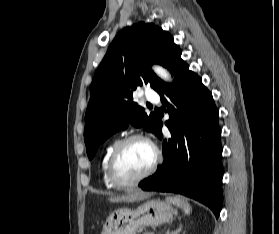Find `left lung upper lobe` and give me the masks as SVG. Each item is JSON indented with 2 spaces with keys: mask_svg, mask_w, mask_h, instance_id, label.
Instances as JSON below:
<instances>
[{
  "mask_svg": "<svg viewBox=\"0 0 279 234\" xmlns=\"http://www.w3.org/2000/svg\"><path fill=\"white\" fill-rule=\"evenodd\" d=\"M178 50L173 37L153 23L139 22L117 34L90 86L84 130L90 160L109 136L129 123L156 133L160 119L133 101V91L147 83L155 90L161 80L150 66L168 68Z\"/></svg>",
  "mask_w": 279,
  "mask_h": 234,
  "instance_id": "1",
  "label": "left lung upper lobe"
}]
</instances>
